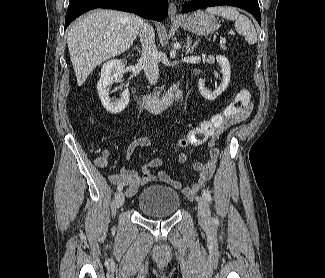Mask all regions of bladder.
I'll return each instance as SVG.
<instances>
[{
	"mask_svg": "<svg viewBox=\"0 0 325 278\" xmlns=\"http://www.w3.org/2000/svg\"><path fill=\"white\" fill-rule=\"evenodd\" d=\"M180 206V194L174 188L160 184L143 188L137 201L139 211L152 217L172 216L180 209Z\"/></svg>",
	"mask_w": 325,
	"mask_h": 278,
	"instance_id": "bladder-1",
	"label": "bladder"
}]
</instances>
